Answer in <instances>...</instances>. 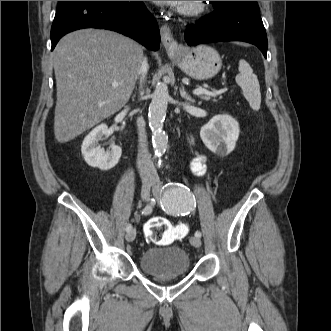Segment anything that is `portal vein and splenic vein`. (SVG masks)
<instances>
[{"mask_svg": "<svg viewBox=\"0 0 331 331\" xmlns=\"http://www.w3.org/2000/svg\"><path fill=\"white\" fill-rule=\"evenodd\" d=\"M112 87H114V88L118 87V83L117 82L112 83ZM222 92H224V90H220V91H216V92H209L204 88H197L193 91V94H195V95L208 94V95L216 96Z\"/></svg>", "mask_w": 331, "mask_h": 331, "instance_id": "18ae733b", "label": "portal vein and splenic vein"}]
</instances>
